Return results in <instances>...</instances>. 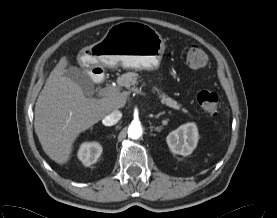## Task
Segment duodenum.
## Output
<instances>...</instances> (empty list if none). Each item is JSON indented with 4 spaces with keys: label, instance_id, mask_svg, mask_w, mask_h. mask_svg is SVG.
<instances>
[{
    "label": "duodenum",
    "instance_id": "obj_1",
    "mask_svg": "<svg viewBox=\"0 0 277 218\" xmlns=\"http://www.w3.org/2000/svg\"><path fill=\"white\" fill-rule=\"evenodd\" d=\"M100 74H101V71L97 72V71H94L92 73V79H93V82L95 84H97L99 82V79H100Z\"/></svg>",
    "mask_w": 277,
    "mask_h": 218
}]
</instances>
